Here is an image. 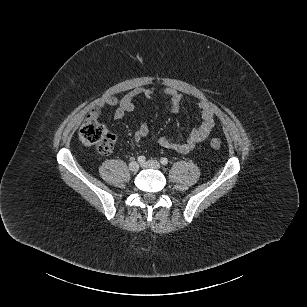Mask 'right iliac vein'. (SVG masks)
<instances>
[{"label":"right iliac vein","mask_w":307,"mask_h":307,"mask_svg":"<svg viewBox=\"0 0 307 307\" xmlns=\"http://www.w3.org/2000/svg\"><path fill=\"white\" fill-rule=\"evenodd\" d=\"M129 170L131 172H137L139 170V164L136 161H132L129 164Z\"/></svg>","instance_id":"63e3f726"}]
</instances>
